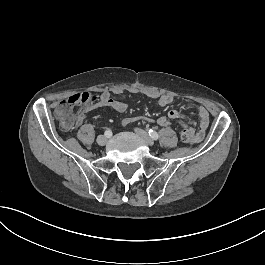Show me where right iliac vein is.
Returning a JSON list of instances; mask_svg holds the SVG:
<instances>
[{
    "label": "right iliac vein",
    "mask_w": 265,
    "mask_h": 265,
    "mask_svg": "<svg viewBox=\"0 0 265 265\" xmlns=\"http://www.w3.org/2000/svg\"><path fill=\"white\" fill-rule=\"evenodd\" d=\"M108 139L106 136L104 135H99L98 138H97V143L100 145V146H104L106 143H107Z\"/></svg>",
    "instance_id": "1"
}]
</instances>
